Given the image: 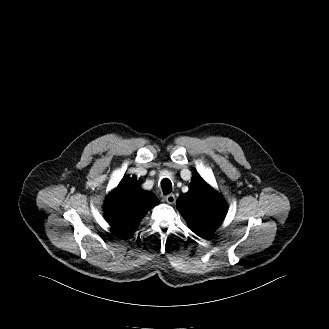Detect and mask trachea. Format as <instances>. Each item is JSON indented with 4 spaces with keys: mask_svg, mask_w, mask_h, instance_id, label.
I'll list each match as a JSON object with an SVG mask.
<instances>
[{
    "mask_svg": "<svg viewBox=\"0 0 329 329\" xmlns=\"http://www.w3.org/2000/svg\"><path fill=\"white\" fill-rule=\"evenodd\" d=\"M161 186H162V191L165 195L169 194L172 191V183L167 178L162 179Z\"/></svg>",
    "mask_w": 329,
    "mask_h": 329,
    "instance_id": "3493384b",
    "label": "trachea"
}]
</instances>
